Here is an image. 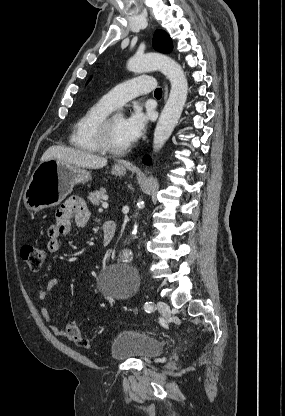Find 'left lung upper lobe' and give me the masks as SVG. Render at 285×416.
<instances>
[{"label": "left lung upper lobe", "mask_w": 285, "mask_h": 416, "mask_svg": "<svg viewBox=\"0 0 285 416\" xmlns=\"http://www.w3.org/2000/svg\"><path fill=\"white\" fill-rule=\"evenodd\" d=\"M153 48L161 53H170L173 49L172 40L166 32L157 30L153 38Z\"/></svg>", "instance_id": "1"}]
</instances>
